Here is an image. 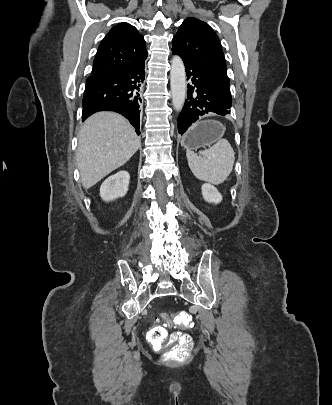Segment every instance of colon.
<instances>
[{"label":"colon","instance_id":"colon-1","mask_svg":"<svg viewBox=\"0 0 332 405\" xmlns=\"http://www.w3.org/2000/svg\"><path fill=\"white\" fill-rule=\"evenodd\" d=\"M170 317L174 320V322L183 327V328H191L192 327V318L191 316L185 311H178L175 313H170ZM164 326H167L169 323L164 321L162 323ZM149 341L154 346H162L168 339V333L163 327H154L148 333ZM169 342L174 343L173 350L168 354L171 359L175 360H183L187 358L192 349H193V340L190 335L183 334L181 332H174L169 337Z\"/></svg>","mask_w":332,"mask_h":405}]
</instances>
